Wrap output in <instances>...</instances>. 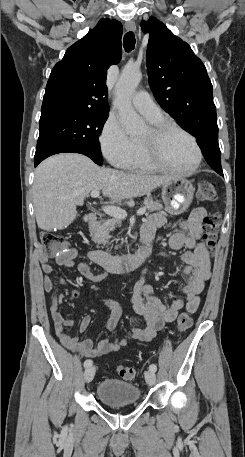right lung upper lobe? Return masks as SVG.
<instances>
[{
	"mask_svg": "<svg viewBox=\"0 0 245 457\" xmlns=\"http://www.w3.org/2000/svg\"><path fill=\"white\" fill-rule=\"evenodd\" d=\"M121 36L119 21L101 19L69 47L50 74L41 113L62 108L109 111L106 75L121 59Z\"/></svg>",
	"mask_w": 245,
	"mask_h": 457,
	"instance_id": "obj_1",
	"label": "right lung upper lobe"
}]
</instances>
